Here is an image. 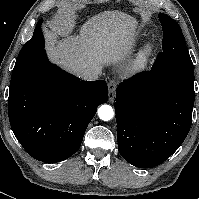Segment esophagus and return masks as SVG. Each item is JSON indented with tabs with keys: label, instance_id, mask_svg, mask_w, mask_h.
<instances>
[{
	"label": "esophagus",
	"instance_id": "esophagus-1",
	"mask_svg": "<svg viewBox=\"0 0 199 199\" xmlns=\"http://www.w3.org/2000/svg\"><path fill=\"white\" fill-rule=\"evenodd\" d=\"M116 81L109 82L108 101L113 102L115 99Z\"/></svg>",
	"mask_w": 199,
	"mask_h": 199
}]
</instances>
